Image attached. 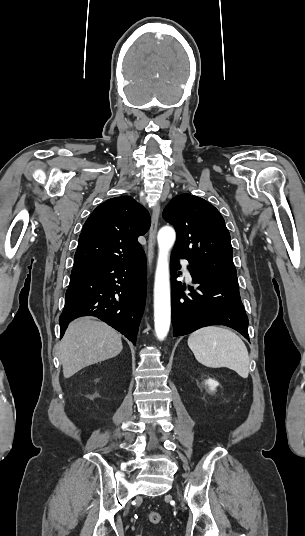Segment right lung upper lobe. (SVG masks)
I'll list each match as a JSON object with an SVG mask.
<instances>
[{
	"label": "right lung upper lobe",
	"mask_w": 305,
	"mask_h": 536,
	"mask_svg": "<svg viewBox=\"0 0 305 536\" xmlns=\"http://www.w3.org/2000/svg\"><path fill=\"white\" fill-rule=\"evenodd\" d=\"M149 227L147 210L132 197L105 201L83 226L72 273L138 256L144 251L137 238Z\"/></svg>",
	"instance_id": "cb5924a9"
}]
</instances>
